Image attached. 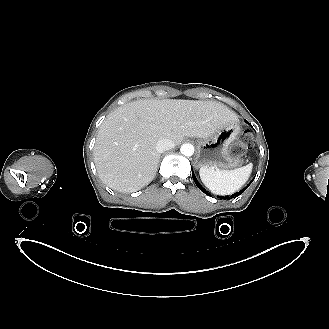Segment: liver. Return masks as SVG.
I'll return each instance as SVG.
<instances>
[{"instance_id": "6515ba94", "label": "liver", "mask_w": 329, "mask_h": 329, "mask_svg": "<svg viewBox=\"0 0 329 329\" xmlns=\"http://www.w3.org/2000/svg\"><path fill=\"white\" fill-rule=\"evenodd\" d=\"M237 115L207 100L143 99L111 112L100 126L94 161L100 179L120 192H135L156 175L162 138L180 143L185 136L208 138Z\"/></svg>"}]
</instances>
